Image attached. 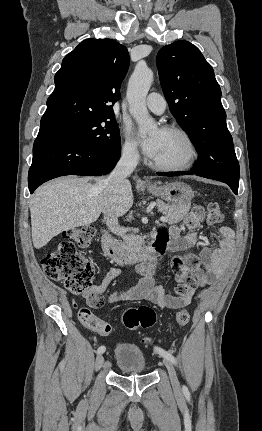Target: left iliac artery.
I'll use <instances>...</instances> for the list:
<instances>
[{"label": "left iliac artery", "mask_w": 262, "mask_h": 431, "mask_svg": "<svg viewBox=\"0 0 262 431\" xmlns=\"http://www.w3.org/2000/svg\"><path fill=\"white\" fill-rule=\"evenodd\" d=\"M155 350H156V352L157 353H159L161 356H163L164 358H166V359H168L169 361H171L174 365H176L177 364V361H176V359H175V357L171 354V353H169V352H167V351H165V350H163V349H161V348H155Z\"/></svg>", "instance_id": "44dca946"}]
</instances>
